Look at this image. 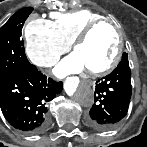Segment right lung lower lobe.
<instances>
[{
  "label": "right lung lower lobe",
  "instance_id": "obj_1",
  "mask_svg": "<svg viewBox=\"0 0 147 147\" xmlns=\"http://www.w3.org/2000/svg\"><path fill=\"white\" fill-rule=\"evenodd\" d=\"M62 91V82L47 79L30 65L0 78V108L19 131L37 134L48 125V102Z\"/></svg>",
  "mask_w": 147,
  "mask_h": 147
}]
</instances>
